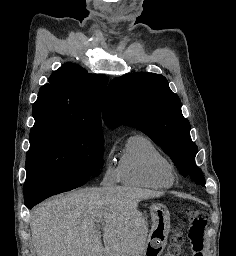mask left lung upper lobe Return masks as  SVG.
I'll list each match as a JSON object with an SVG mask.
<instances>
[{"instance_id":"1","label":"left lung upper lobe","mask_w":236,"mask_h":256,"mask_svg":"<svg viewBox=\"0 0 236 256\" xmlns=\"http://www.w3.org/2000/svg\"><path fill=\"white\" fill-rule=\"evenodd\" d=\"M103 119L110 128L124 124L144 132L183 176L190 175L205 187L203 173L195 164L198 149L191 140L189 121L164 76L138 72L113 79L106 92Z\"/></svg>"}]
</instances>
